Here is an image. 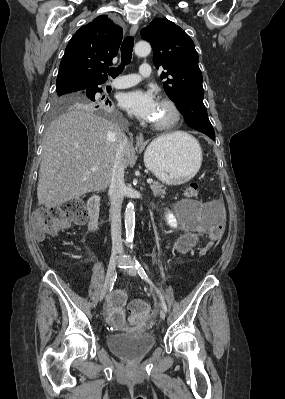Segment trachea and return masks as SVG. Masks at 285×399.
<instances>
[{
	"label": "trachea",
	"mask_w": 285,
	"mask_h": 399,
	"mask_svg": "<svg viewBox=\"0 0 285 399\" xmlns=\"http://www.w3.org/2000/svg\"><path fill=\"white\" fill-rule=\"evenodd\" d=\"M134 38L127 36L121 46V64L117 68H110L108 74L112 78H116L124 69L125 65L131 62L133 52Z\"/></svg>",
	"instance_id": "1"
}]
</instances>
